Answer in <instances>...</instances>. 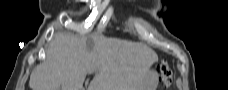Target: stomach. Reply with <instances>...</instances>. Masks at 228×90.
I'll return each mask as SVG.
<instances>
[{"instance_id":"0dacf381","label":"stomach","mask_w":228,"mask_h":90,"mask_svg":"<svg viewBox=\"0 0 228 90\" xmlns=\"http://www.w3.org/2000/svg\"><path fill=\"white\" fill-rule=\"evenodd\" d=\"M157 82V73L155 71H150L147 77V82L140 88V90H154Z\"/></svg>"}]
</instances>
